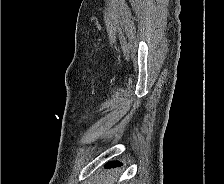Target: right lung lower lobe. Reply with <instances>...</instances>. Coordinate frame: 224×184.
<instances>
[{"label": "right lung lower lobe", "instance_id": "obj_1", "mask_svg": "<svg viewBox=\"0 0 224 184\" xmlns=\"http://www.w3.org/2000/svg\"><path fill=\"white\" fill-rule=\"evenodd\" d=\"M117 165H120V163H118V162H110V163H108V164L106 165V167H107V168H109V167H116Z\"/></svg>", "mask_w": 224, "mask_h": 184}]
</instances>
